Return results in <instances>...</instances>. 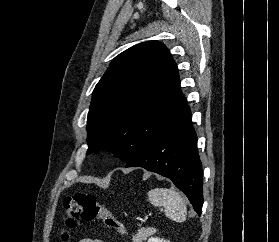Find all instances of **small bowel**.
<instances>
[{"mask_svg": "<svg viewBox=\"0 0 279 242\" xmlns=\"http://www.w3.org/2000/svg\"><path fill=\"white\" fill-rule=\"evenodd\" d=\"M79 242H104L101 239H91V238H84L81 239Z\"/></svg>", "mask_w": 279, "mask_h": 242, "instance_id": "obj_1", "label": "small bowel"}]
</instances>
